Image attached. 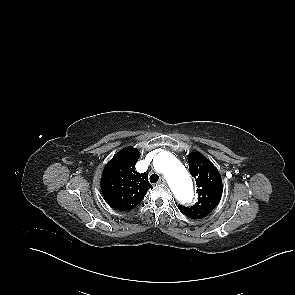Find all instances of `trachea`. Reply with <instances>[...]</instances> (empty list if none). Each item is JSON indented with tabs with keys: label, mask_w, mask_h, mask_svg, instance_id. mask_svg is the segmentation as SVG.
I'll list each match as a JSON object with an SVG mask.
<instances>
[{
	"label": "trachea",
	"mask_w": 295,
	"mask_h": 295,
	"mask_svg": "<svg viewBox=\"0 0 295 295\" xmlns=\"http://www.w3.org/2000/svg\"><path fill=\"white\" fill-rule=\"evenodd\" d=\"M159 180V176L157 174H152L150 176V182L151 183H156Z\"/></svg>",
	"instance_id": "1"
}]
</instances>
